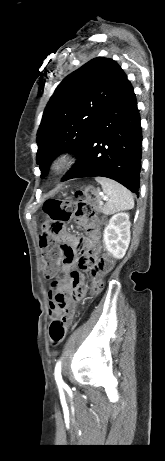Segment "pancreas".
<instances>
[{"mask_svg":"<svg viewBox=\"0 0 165 461\" xmlns=\"http://www.w3.org/2000/svg\"><path fill=\"white\" fill-rule=\"evenodd\" d=\"M99 201H100V200L98 199L97 202L99 203ZM95 209H96V210H99V211H102V210H103V207H102L101 204H98L97 206H95Z\"/></svg>","mask_w":165,"mask_h":461,"instance_id":"cf45deb5","label":"pancreas"}]
</instances>
